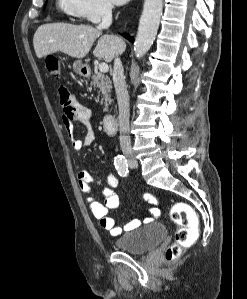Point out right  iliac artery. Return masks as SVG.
<instances>
[{"label":"right iliac artery","mask_w":247,"mask_h":299,"mask_svg":"<svg viewBox=\"0 0 247 299\" xmlns=\"http://www.w3.org/2000/svg\"><path fill=\"white\" fill-rule=\"evenodd\" d=\"M114 165L118 171V174L125 177L128 174L127 160L121 155L115 157Z\"/></svg>","instance_id":"obj_1"}]
</instances>
